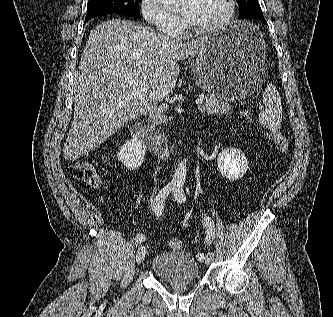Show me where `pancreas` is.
<instances>
[{"label": "pancreas", "instance_id": "pancreas-1", "mask_svg": "<svg viewBox=\"0 0 333 317\" xmlns=\"http://www.w3.org/2000/svg\"><path fill=\"white\" fill-rule=\"evenodd\" d=\"M198 109L201 112H206L208 114H228L231 110V107L228 103L220 102L218 99H215L211 96H206V101L203 105L199 106ZM151 127L160 125L161 123H166V117L162 113H154L150 116Z\"/></svg>", "mask_w": 333, "mask_h": 317}]
</instances>
